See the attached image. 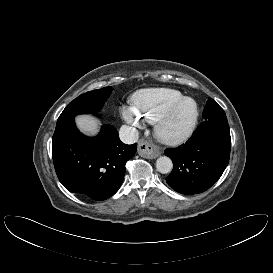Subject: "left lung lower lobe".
I'll return each mask as SVG.
<instances>
[{
	"label": "left lung lower lobe",
	"mask_w": 273,
	"mask_h": 273,
	"mask_svg": "<svg viewBox=\"0 0 273 273\" xmlns=\"http://www.w3.org/2000/svg\"><path fill=\"white\" fill-rule=\"evenodd\" d=\"M230 148L227 120L204 121L185 144L165 150L173 162V170L166 182L182 194L206 191L227 167Z\"/></svg>",
	"instance_id": "obj_1"
}]
</instances>
